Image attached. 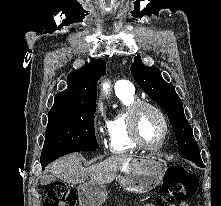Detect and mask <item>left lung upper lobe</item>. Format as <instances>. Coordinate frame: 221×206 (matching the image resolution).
<instances>
[{
    "instance_id": "obj_1",
    "label": "left lung upper lobe",
    "mask_w": 221,
    "mask_h": 206,
    "mask_svg": "<svg viewBox=\"0 0 221 206\" xmlns=\"http://www.w3.org/2000/svg\"><path fill=\"white\" fill-rule=\"evenodd\" d=\"M130 70L138 85L167 112L179 154L194 163L201 162L191 126L184 115L183 103L174 87L164 81L159 69L145 66L140 56L134 58Z\"/></svg>"
}]
</instances>
